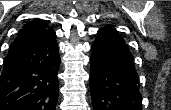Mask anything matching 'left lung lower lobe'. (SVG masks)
<instances>
[{"label":"left lung lower lobe","mask_w":171,"mask_h":110,"mask_svg":"<svg viewBox=\"0 0 171 110\" xmlns=\"http://www.w3.org/2000/svg\"><path fill=\"white\" fill-rule=\"evenodd\" d=\"M92 45L90 90L94 110H141L134 57L113 26L101 28Z\"/></svg>","instance_id":"1"}]
</instances>
